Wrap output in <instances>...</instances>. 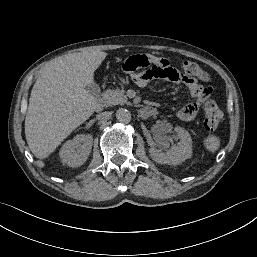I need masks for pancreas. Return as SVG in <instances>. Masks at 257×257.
Returning <instances> with one entry per match:
<instances>
[{"label":"pancreas","instance_id":"cf45deb5","mask_svg":"<svg viewBox=\"0 0 257 257\" xmlns=\"http://www.w3.org/2000/svg\"><path fill=\"white\" fill-rule=\"evenodd\" d=\"M103 100L105 102V106L112 107L118 104H127V96L125 95L124 90H106L103 94Z\"/></svg>","mask_w":257,"mask_h":257}]
</instances>
